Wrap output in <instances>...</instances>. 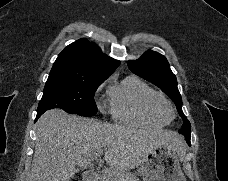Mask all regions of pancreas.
Here are the masks:
<instances>
[{
	"label": "pancreas",
	"mask_w": 228,
	"mask_h": 181,
	"mask_svg": "<svg viewBox=\"0 0 228 181\" xmlns=\"http://www.w3.org/2000/svg\"><path fill=\"white\" fill-rule=\"evenodd\" d=\"M101 179L103 181H138L135 175H131L127 171H117V169H106Z\"/></svg>",
	"instance_id": "1"
}]
</instances>
